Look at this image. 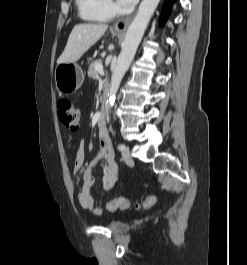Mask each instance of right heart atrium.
Returning <instances> with one entry per match:
<instances>
[{
	"label": "right heart atrium",
	"instance_id": "d8ad5b80",
	"mask_svg": "<svg viewBox=\"0 0 247 265\" xmlns=\"http://www.w3.org/2000/svg\"><path fill=\"white\" fill-rule=\"evenodd\" d=\"M105 9L111 15L115 14L117 11L116 5L111 0H105Z\"/></svg>",
	"mask_w": 247,
	"mask_h": 265
}]
</instances>
